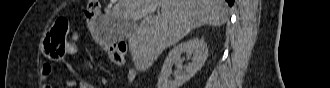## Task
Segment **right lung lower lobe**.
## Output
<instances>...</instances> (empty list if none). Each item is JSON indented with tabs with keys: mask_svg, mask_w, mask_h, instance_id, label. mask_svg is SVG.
Segmentation results:
<instances>
[{
	"mask_svg": "<svg viewBox=\"0 0 330 88\" xmlns=\"http://www.w3.org/2000/svg\"><path fill=\"white\" fill-rule=\"evenodd\" d=\"M226 2H228V4H229L230 6H232V5L234 4V0H226Z\"/></svg>",
	"mask_w": 330,
	"mask_h": 88,
	"instance_id": "1",
	"label": "right lung lower lobe"
}]
</instances>
